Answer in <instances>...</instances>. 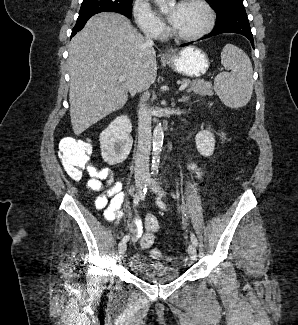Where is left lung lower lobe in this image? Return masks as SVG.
<instances>
[{"mask_svg":"<svg viewBox=\"0 0 298 325\" xmlns=\"http://www.w3.org/2000/svg\"><path fill=\"white\" fill-rule=\"evenodd\" d=\"M222 33H238L244 35L250 40L252 46L254 47L253 35L251 33V28L245 9L232 11L222 19L217 20L213 31L202 39H206ZM191 43L192 42L182 44L181 46H187Z\"/></svg>","mask_w":298,"mask_h":325,"instance_id":"obj_1","label":"left lung lower lobe"}]
</instances>
